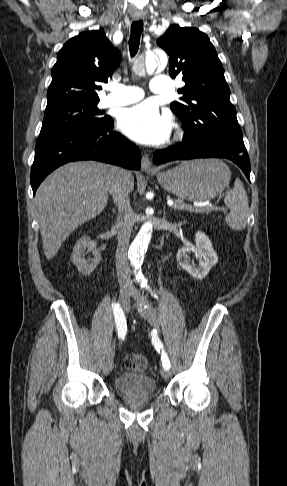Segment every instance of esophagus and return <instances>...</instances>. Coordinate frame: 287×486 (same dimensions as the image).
I'll list each match as a JSON object with an SVG mask.
<instances>
[{"mask_svg": "<svg viewBox=\"0 0 287 486\" xmlns=\"http://www.w3.org/2000/svg\"><path fill=\"white\" fill-rule=\"evenodd\" d=\"M136 21L141 20V17H135ZM141 169L145 172H154L155 167L152 165V162L147 154H143L142 161H141Z\"/></svg>", "mask_w": 287, "mask_h": 486, "instance_id": "1", "label": "esophagus"}]
</instances>
